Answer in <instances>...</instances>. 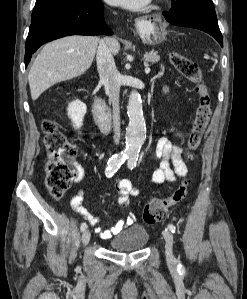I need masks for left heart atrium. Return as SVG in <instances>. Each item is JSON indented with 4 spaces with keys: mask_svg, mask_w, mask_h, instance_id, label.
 Segmentation results:
<instances>
[{
    "mask_svg": "<svg viewBox=\"0 0 247 299\" xmlns=\"http://www.w3.org/2000/svg\"><path fill=\"white\" fill-rule=\"evenodd\" d=\"M111 5L121 6L127 9H139L145 6L150 0H105Z\"/></svg>",
    "mask_w": 247,
    "mask_h": 299,
    "instance_id": "39dd6f15",
    "label": "left heart atrium"
}]
</instances>
